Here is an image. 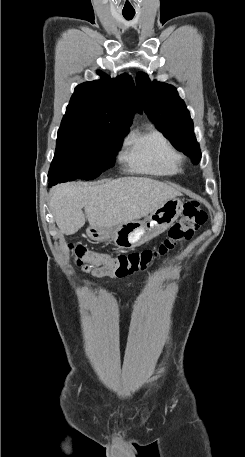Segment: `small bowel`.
Wrapping results in <instances>:
<instances>
[{"label":"small bowel","instance_id":"c3829d8e","mask_svg":"<svg viewBox=\"0 0 245 457\" xmlns=\"http://www.w3.org/2000/svg\"><path fill=\"white\" fill-rule=\"evenodd\" d=\"M90 274L95 278H101V277H110V278H114V279L118 278L111 269L105 268V267L95 268L90 271Z\"/></svg>","mask_w":245,"mask_h":457}]
</instances>
